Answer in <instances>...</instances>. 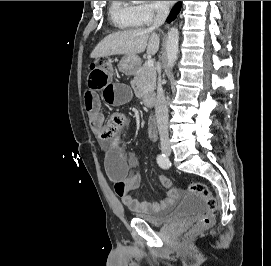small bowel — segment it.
<instances>
[{"instance_id":"obj_1","label":"small bowel","mask_w":271,"mask_h":266,"mask_svg":"<svg viewBox=\"0 0 271 266\" xmlns=\"http://www.w3.org/2000/svg\"><path fill=\"white\" fill-rule=\"evenodd\" d=\"M98 92H101L104 100L112 105L129 101L131 92L126 84L113 82L112 69L90 68L84 106L93 134L100 141L109 142L105 170L115 193L121 198L124 206L139 213H156L172 207L179 197V192L172 187L170 179L165 175H159L158 178L160 184L168 189L162 201L147 202L132 196V192L140 187L142 177L138 173L129 174L130 167L137 164V158L133 155L127 159L121 148L126 117L121 113H115L108 122H105Z\"/></svg>"}]
</instances>
